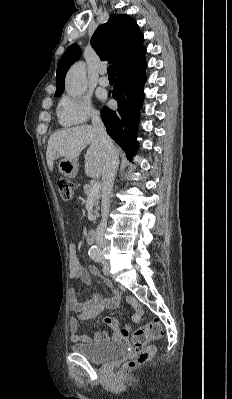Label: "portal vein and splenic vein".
<instances>
[{
  "mask_svg": "<svg viewBox=\"0 0 232 399\" xmlns=\"http://www.w3.org/2000/svg\"><path fill=\"white\" fill-rule=\"evenodd\" d=\"M99 190H100V184L99 182H96V184H93L90 190V194H99Z\"/></svg>",
  "mask_w": 232,
  "mask_h": 399,
  "instance_id": "18ae733b",
  "label": "portal vein and splenic vein"
}]
</instances>
